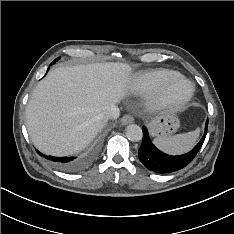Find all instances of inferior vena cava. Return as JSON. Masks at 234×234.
<instances>
[{
  "instance_id": "1",
  "label": "inferior vena cava",
  "mask_w": 234,
  "mask_h": 234,
  "mask_svg": "<svg viewBox=\"0 0 234 234\" xmlns=\"http://www.w3.org/2000/svg\"><path fill=\"white\" fill-rule=\"evenodd\" d=\"M120 115L119 108L116 106L110 107L106 111L100 114V119L104 122L110 120V119H117Z\"/></svg>"
}]
</instances>
